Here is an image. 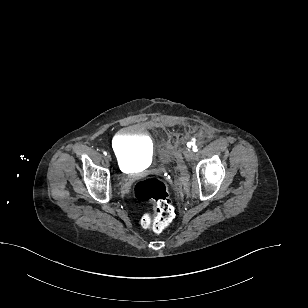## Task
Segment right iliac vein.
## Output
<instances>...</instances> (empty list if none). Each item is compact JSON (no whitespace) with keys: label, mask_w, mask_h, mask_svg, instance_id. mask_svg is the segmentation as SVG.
<instances>
[{"label":"right iliac vein","mask_w":308,"mask_h":308,"mask_svg":"<svg viewBox=\"0 0 308 308\" xmlns=\"http://www.w3.org/2000/svg\"><path fill=\"white\" fill-rule=\"evenodd\" d=\"M106 158H107L108 160H111V155L108 153V154L106 155Z\"/></svg>","instance_id":"1"}]
</instances>
